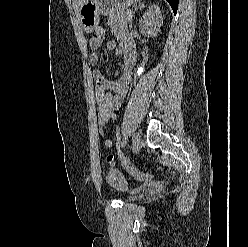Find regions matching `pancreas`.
<instances>
[{
  "label": "pancreas",
  "mask_w": 248,
  "mask_h": 247,
  "mask_svg": "<svg viewBox=\"0 0 248 247\" xmlns=\"http://www.w3.org/2000/svg\"><path fill=\"white\" fill-rule=\"evenodd\" d=\"M131 17L132 15H130L129 11L116 10L112 14H110L108 18V25L113 30L127 27L129 24H131L132 21Z\"/></svg>",
  "instance_id": "pancreas-1"
}]
</instances>
